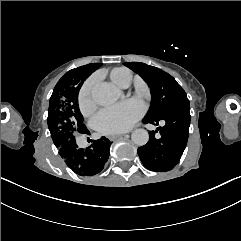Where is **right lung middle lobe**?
I'll use <instances>...</instances> for the list:
<instances>
[{"instance_id": "right-lung-middle-lobe-1", "label": "right lung middle lobe", "mask_w": 241, "mask_h": 241, "mask_svg": "<svg viewBox=\"0 0 241 241\" xmlns=\"http://www.w3.org/2000/svg\"><path fill=\"white\" fill-rule=\"evenodd\" d=\"M101 63H92L68 71L56 84L49 101L48 128L55 146L76 143L75 136L89 134L78 106V93L86 78Z\"/></svg>"}]
</instances>
